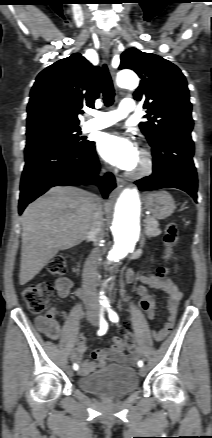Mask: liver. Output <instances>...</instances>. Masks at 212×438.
<instances>
[{"label":"liver","instance_id":"6515ba94","mask_svg":"<svg viewBox=\"0 0 212 438\" xmlns=\"http://www.w3.org/2000/svg\"><path fill=\"white\" fill-rule=\"evenodd\" d=\"M96 204V196L88 191L56 186L25 209L21 285L32 280L60 250L74 247L86 238Z\"/></svg>","mask_w":212,"mask_h":438}]
</instances>
